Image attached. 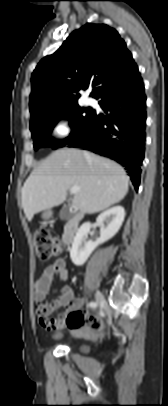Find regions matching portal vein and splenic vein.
I'll list each match as a JSON object with an SVG mask.
<instances>
[{"label": "portal vein and splenic vein", "instance_id": "portal-vein-and-splenic-vein-1", "mask_svg": "<svg viewBox=\"0 0 168 406\" xmlns=\"http://www.w3.org/2000/svg\"><path fill=\"white\" fill-rule=\"evenodd\" d=\"M80 188L77 186H73L70 188V193L71 194H77L79 192Z\"/></svg>", "mask_w": 168, "mask_h": 406}]
</instances>
